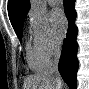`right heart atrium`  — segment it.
I'll return each instance as SVG.
<instances>
[{
  "label": "right heart atrium",
  "mask_w": 89,
  "mask_h": 89,
  "mask_svg": "<svg viewBox=\"0 0 89 89\" xmlns=\"http://www.w3.org/2000/svg\"><path fill=\"white\" fill-rule=\"evenodd\" d=\"M30 24L33 31L34 45L40 56L49 62L59 49L60 42L47 19L32 16Z\"/></svg>",
  "instance_id": "obj_1"
}]
</instances>
